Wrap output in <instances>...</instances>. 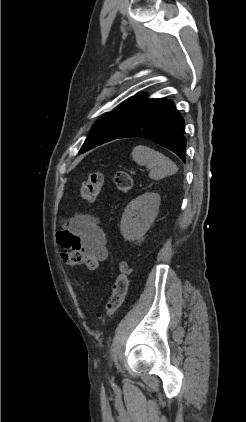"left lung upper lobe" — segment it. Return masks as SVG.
<instances>
[{
    "label": "left lung upper lobe",
    "instance_id": "5c2ea615",
    "mask_svg": "<svg viewBox=\"0 0 246 422\" xmlns=\"http://www.w3.org/2000/svg\"><path fill=\"white\" fill-rule=\"evenodd\" d=\"M160 100L161 98L146 99L145 94H141L125 101L114 111L103 115L92 126L91 132L79 153H84L98 145L116 139Z\"/></svg>",
    "mask_w": 246,
    "mask_h": 422
}]
</instances>
